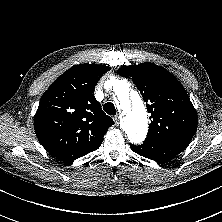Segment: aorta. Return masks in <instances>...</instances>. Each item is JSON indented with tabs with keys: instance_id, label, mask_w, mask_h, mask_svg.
I'll return each instance as SVG.
<instances>
[{
	"instance_id": "1",
	"label": "aorta",
	"mask_w": 222,
	"mask_h": 222,
	"mask_svg": "<svg viewBox=\"0 0 222 222\" xmlns=\"http://www.w3.org/2000/svg\"><path fill=\"white\" fill-rule=\"evenodd\" d=\"M113 89L123 113L125 133L132 143H142L147 135L148 119L141 99L137 97L134 102L131 101L130 85L125 80H117Z\"/></svg>"
}]
</instances>
